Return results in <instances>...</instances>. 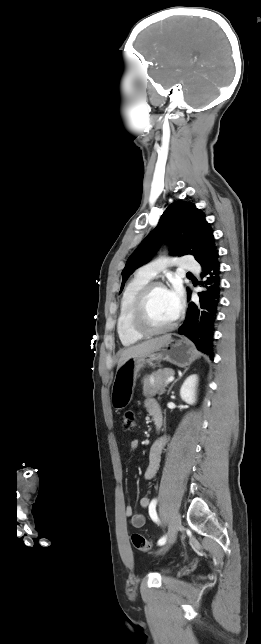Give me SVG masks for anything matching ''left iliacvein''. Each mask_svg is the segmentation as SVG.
<instances>
[{"label": "left iliac vein", "mask_w": 261, "mask_h": 644, "mask_svg": "<svg viewBox=\"0 0 261 644\" xmlns=\"http://www.w3.org/2000/svg\"><path fill=\"white\" fill-rule=\"evenodd\" d=\"M168 527H169V531H168L167 544H166L165 547H163L159 551L160 553L165 552L166 550H168L170 545H172L176 540L177 533H178V531H179V529L181 527V517H180V514L178 512H174L170 516V519H169V522H168Z\"/></svg>", "instance_id": "1"}]
</instances>
